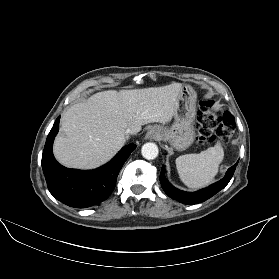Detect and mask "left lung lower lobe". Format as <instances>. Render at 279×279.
Listing matches in <instances>:
<instances>
[{
  "label": "left lung lower lobe",
  "mask_w": 279,
  "mask_h": 279,
  "mask_svg": "<svg viewBox=\"0 0 279 279\" xmlns=\"http://www.w3.org/2000/svg\"><path fill=\"white\" fill-rule=\"evenodd\" d=\"M237 164L238 162L228 169L224 178L210 185L209 187L201 189L196 192H185L172 186L165 178L164 166H162V170L160 174V183L163 190L172 199H175L178 202H181L183 204H197L209 199L210 197L218 193L220 190H222L231 180Z\"/></svg>",
  "instance_id": "0a47b994"
}]
</instances>
